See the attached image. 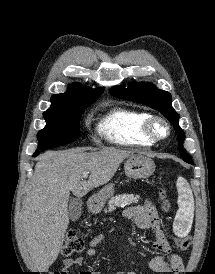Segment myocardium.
<instances>
[{
  "instance_id": "1",
  "label": "myocardium",
  "mask_w": 215,
  "mask_h": 274,
  "mask_svg": "<svg viewBox=\"0 0 215 274\" xmlns=\"http://www.w3.org/2000/svg\"><path fill=\"white\" fill-rule=\"evenodd\" d=\"M159 128H162V132H159ZM144 133L153 142H160L170 136L171 126L164 117L150 116L144 123Z\"/></svg>"
}]
</instances>
